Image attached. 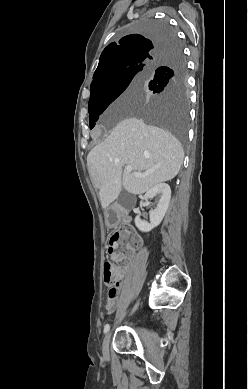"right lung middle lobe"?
I'll return each instance as SVG.
<instances>
[{
	"instance_id": "obj_1",
	"label": "right lung middle lobe",
	"mask_w": 248,
	"mask_h": 389,
	"mask_svg": "<svg viewBox=\"0 0 248 389\" xmlns=\"http://www.w3.org/2000/svg\"><path fill=\"white\" fill-rule=\"evenodd\" d=\"M138 30L151 39L174 38V32L166 23L151 20L138 25ZM166 70L154 74L155 70ZM148 81L152 100L140 104L135 100L121 104L119 112L131 113L146 122L172 132L185 144L189 116L186 84V62L180 48L170 50L158 57L157 63L149 68L132 67L115 70L100 77L90 86L89 122L90 129L104 110L132 83Z\"/></svg>"
}]
</instances>
